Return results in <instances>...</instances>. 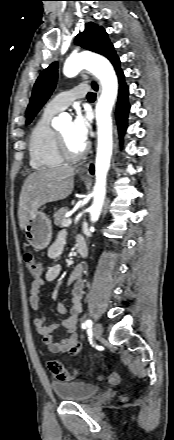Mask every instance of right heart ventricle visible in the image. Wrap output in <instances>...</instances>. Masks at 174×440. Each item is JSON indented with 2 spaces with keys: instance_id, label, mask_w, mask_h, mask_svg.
<instances>
[{
  "instance_id": "right-heart-ventricle-1",
  "label": "right heart ventricle",
  "mask_w": 174,
  "mask_h": 440,
  "mask_svg": "<svg viewBox=\"0 0 174 440\" xmlns=\"http://www.w3.org/2000/svg\"><path fill=\"white\" fill-rule=\"evenodd\" d=\"M54 114L44 110L30 132L28 150L34 169L55 168L64 162L58 150L56 131L50 125Z\"/></svg>"
}]
</instances>
